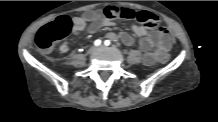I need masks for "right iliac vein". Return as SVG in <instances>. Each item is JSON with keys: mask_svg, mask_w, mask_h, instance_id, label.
I'll list each match as a JSON object with an SVG mask.
<instances>
[{"mask_svg": "<svg viewBox=\"0 0 218 122\" xmlns=\"http://www.w3.org/2000/svg\"><path fill=\"white\" fill-rule=\"evenodd\" d=\"M96 50H97V48L94 47V46H92V47H90V48L88 49V54L92 55V54H94V53L96 52Z\"/></svg>", "mask_w": 218, "mask_h": 122, "instance_id": "1", "label": "right iliac vein"}]
</instances>
